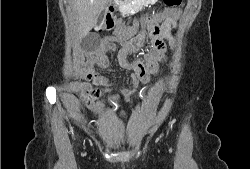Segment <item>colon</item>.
Listing matches in <instances>:
<instances>
[{
	"label": "colon",
	"instance_id": "obj_1",
	"mask_svg": "<svg viewBox=\"0 0 250 169\" xmlns=\"http://www.w3.org/2000/svg\"><path fill=\"white\" fill-rule=\"evenodd\" d=\"M162 3H166L169 7L179 6L181 4V0H162ZM122 28L121 25L117 26V22L114 17L113 11L109 12L106 16L105 23L98 28V31L110 32L113 30H120ZM151 34L150 41L152 43H156V49L158 51H165L167 49V42L165 40H161L162 29L159 26H151ZM142 35L137 38V41H134L131 44V49L134 52H139L142 49Z\"/></svg>",
	"mask_w": 250,
	"mask_h": 169
}]
</instances>
